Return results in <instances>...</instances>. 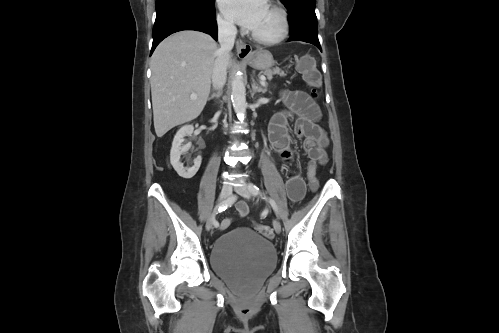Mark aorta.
<instances>
[{
  "label": "aorta",
  "instance_id": "obj_1",
  "mask_svg": "<svg viewBox=\"0 0 499 333\" xmlns=\"http://www.w3.org/2000/svg\"><path fill=\"white\" fill-rule=\"evenodd\" d=\"M231 100L234 111L240 120L246 117V89L243 82V77L238 72L234 73L231 82Z\"/></svg>",
  "mask_w": 499,
  "mask_h": 333
}]
</instances>
